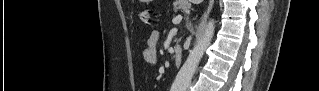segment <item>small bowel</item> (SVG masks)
Masks as SVG:
<instances>
[{
  "instance_id": "1",
  "label": "small bowel",
  "mask_w": 319,
  "mask_h": 91,
  "mask_svg": "<svg viewBox=\"0 0 319 91\" xmlns=\"http://www.w3.org/2000/svg\"><path fill=\"white\" fill-rule=\"evenodd\" d=\"M160 34L157 30L152 31L150 34L146 47L142 51L141 60L146 65H155L157 62V45L159 42Z\"/></svg>"
}]
</instances>
